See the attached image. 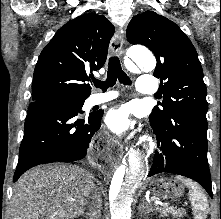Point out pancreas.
Returning <instances> with one entry per match:
<instances>
[{
	"label": "pancreas",
	"instance_id": "1",
	"mask_svg": "<svg viewBox=\"0 0 221 219\" xmlns=\"http://www.w3.org/2000/svg\"><path fill=\"white\" fill-rule=\"evenodd\" d=\"M158 212L160 213L161 216L167 217L169 215H172L175 218H181L184 214L185 211L181 209H177L174 207H169L166 205H163L161 207H157Z\"/></svg>",
	"mask_w": 221,
	"mask_h": 219
}]
</instances>
